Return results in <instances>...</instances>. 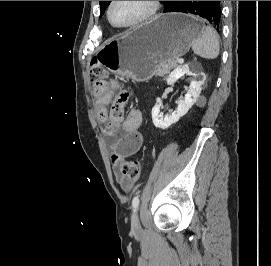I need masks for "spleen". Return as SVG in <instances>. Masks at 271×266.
<instances>
[{
  "label": "spleen",
  "mask_w": 271,
  "mask_h": 266,
  "mask_svg": "<svg viewBox=\"0 0 271 266\" xmlns=\"http://www.w3.org/2000/svg\"><path fill=\"white\" fill-rule=\"evenodd\" d=\"M193 52L206 59H215L219 55V39L210 26H204L200 35L192 41Z\"/></svg>",
  "instance_id": "spleen-1"
}]
</instances>
